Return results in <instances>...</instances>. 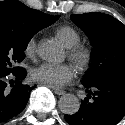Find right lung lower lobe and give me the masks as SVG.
I'll use <instances>...</instances> for the list:
<instances>
[{"instance_id": "98d812e1", "label": "right lung lower lobe", "mask_w": 125, "mask_h": 125, "mask_svg": "<svg viewBox=\"0 0 125 125\" xmlns=\"http://www.w3.org/2000/svg\"><path fill=\"white\" fill-rule=\"evenodd\" d=\"M25 77L22 68L10 72L0 69V122L11 119L25 108L34 88L23 84Z\"/></svg>"}]
</instances>
